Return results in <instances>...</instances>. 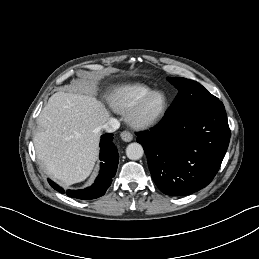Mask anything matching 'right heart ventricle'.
I'll return each instance as SVG.
<instances>
[{"instance_id": "1", "label": "right heart ventricle", "mask_w": 259, "mask_h": 259, "mask_svg": "<svg viewBox=\"0 0 259 259\" xmlns=\"http://www.w3.org/2000/svg\"><path fill=\"white\" fill-rule=\"evenodd\" d=\"M151 90L141 83L120 85L106 96V102L113 110L126 113Z\"/></svg>"}]
</instances>
